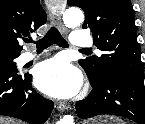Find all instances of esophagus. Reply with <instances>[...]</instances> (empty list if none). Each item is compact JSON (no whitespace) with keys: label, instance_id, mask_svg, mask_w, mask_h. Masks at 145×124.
Returning <instances> with one entry per match:
<instances>
[{"label":"esophagus","instance_id":"1","mask_svg":"<svg viewBox=\"0 0 145 124\" xmlns=\"http://www.w3.org/2000/svg\"><path fill=\"white\" fill-rule=\"evenodd\" d=\"M48 9H49V15L50 18L52 20V22L58 27V29L62 32L65 33L66 32V28L62 23V13H63V7L62 4L60 2L57 1H50V3L47 5ZM57 108L60 111H65L68 107L65 103H59L57 105Z\"/></svg>","mask_w":145,"mask_h":124}]
</instances>
